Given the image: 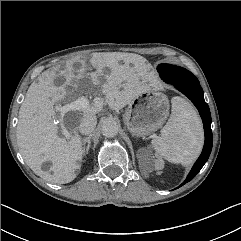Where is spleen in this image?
<instances>
[{
    "label": "spleen",
    "mask_w": 241,
    "mask_h": 241,
    "mask_svg": "<svg viewBox=\"0 0 241 241\" xmlns=\"http://www.w3.org/2000/svg\"><path fill=\"white\" fill-rule=\"evenodd\" d=\"M171 115L151 144L171 163L189 165L199 156L204 134L201 120L190 102L179 96L171 100Z\"/></svg>",
    "instance_id": "3e777b00"
}]
</instances>
